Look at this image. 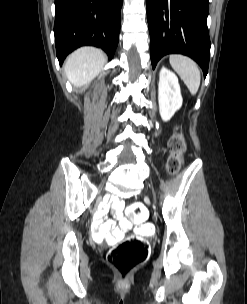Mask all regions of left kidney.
<instances>
[{
    "label": "left kidney",
    "mask_w": 247,
    "mask_h": 304,
    "mask_svg": "<svg viewBox=\"0 0 247 304\" xmlns=\"http://www.w3.org/2000/svg\"><path fill=\"white\" fill-rule=\"evenodd\" d=\"M158 101L161 118L168 121L182 106V96L177 76L165 67L159 73Z\"/></svg>",
    "instance_id": "obj_1"
}]
</instances>
